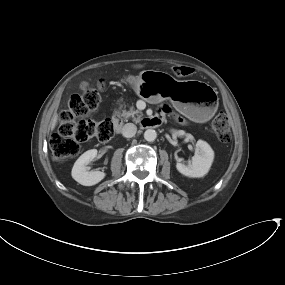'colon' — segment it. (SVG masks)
Here are the masks:
<instances>
[{
    "label": "colon",
    "mask_w": 285,
    "mask_h": 285,
    "mask_svg": "<svg viewBox=\"0 0 285 285\" xmlns=\"http://www.w3.org/2000/svg\"><path fill=\"white\" fill-rule=\"evenodd\" d=\"M194 69L187 66H176L173 73L178 78H186L193 74ZM102 86L91 88L84 93L74 94L68 108L60 114L58 132L50 139V148L57 161H65L78 154L80 144L93 137L102 142L109 141L114 133L115 126L111 119L94 122L87 116L100 103ZM212 131L220 142L226 143L231 139L228 117L221 113L212 122Z\"/></svg>",
    "instance_id": "1"
}]
</instances>
